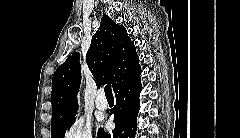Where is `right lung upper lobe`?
<instances>
[{
    "label": "right lung upper lobe",
    "mask_w": 240,
    "mask_h": 138,
    "mask_svg": "<svg viewBox=\"0 0 240 138\" xmlns=\"http://www.w3.org/2000/svg\"><path fill=\"white\" fill-rule=\"evenodd\" d=\"M86 61L97 86L110 83L115 90L141 74L139 57L126 29L107 15L102 17L100 26L92 37ZM102 76L105 77L101 79ZM80 80L79 53L74 52L57 68L52 78L51 126L75 118L78 110L76 93Z\"/></svg>",
    "instance_id": "right-lung-upper-lobe-1"
}]
</instances>
